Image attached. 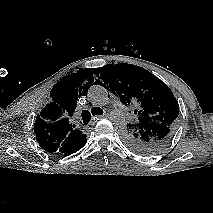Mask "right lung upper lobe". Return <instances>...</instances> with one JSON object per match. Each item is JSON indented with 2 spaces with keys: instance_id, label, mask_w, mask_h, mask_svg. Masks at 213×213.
<instances>
[{
  "instance_id": "right-lung-upper-lobe-1",
  "label": "right lung upper lobe",
  "mask_w": 213,
  "mask_h": 213,
  "mask_svg": "<svg viewBox=\"0 0 213 213\" xmlns=\"http://www.w3.org/2000/svg\"><path fill=\"white\" fill-rule=\"evenodd\" d=\"M96 69H79L63 77L51 90L50 102L38 113L34 131L41 148L53 154H63L85 138L82 131L70 123L77 99L92 86Z\"/></svg>"
}]
</instances>
